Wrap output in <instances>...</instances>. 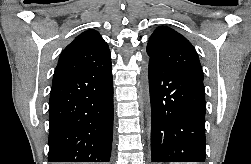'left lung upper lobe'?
Wrapping results in <instances>:
<instances>
[{
    "label": "left lung upper lobe",
    "mask_w": 251,
    "mask_h": 164,
    "mask_svg": "<svg viewBox=\"0 0 251 164\" xmlns=\"http://www.w3.org/2000/svg\"><path fill=\"white\" fill-rule=\"evenodd\" d=\"M149 62H157L203 79L198 55L190 42L175 30L161 26L151 35L147 45Z\"/></svg>",
    "instance_id": "obj_1"
}]
</instances>
